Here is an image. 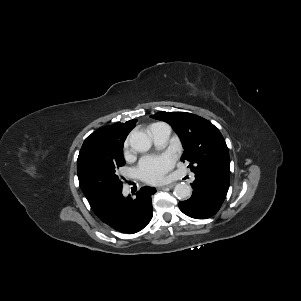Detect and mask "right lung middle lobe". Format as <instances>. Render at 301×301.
I'll return each instance as SVG.
<instances>
[{
	"mask_svg": "<svg viewBox=\"0 0 301 301\" xmlns=\"http://www.w3.org/2000/svg\"><path fill=\"white\" fill-rule=\"evenodd\" d=\"M124 164L123 146L93 141L81 148L77 160L79 184L95 214L122 191L117 170Z\"/></svg>",
	"mask_w": 301,
	"mask_h": 301,
	"instance_id": "right-lung-middle-lobe-1",
	"label": "right lung middle lobe"
}]
</instances>
